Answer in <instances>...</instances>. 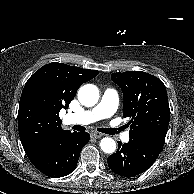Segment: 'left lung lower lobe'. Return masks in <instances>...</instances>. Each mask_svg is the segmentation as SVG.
<instances>
[{"label":"left lung lower lobe","instance_id":"left-lung-lower-lobe-1","mask_svg":"<svg viewBox=\"0 0 194 194\" xmlns=\"http://www.w3.org/2000/svg\"><path fill=\"white\" fill-rule=\"evenodd\" d=\"M164 143L130 134L128 143L119 142L116 153L108 157L109 168L124 177H134L145 172L159 156Z\"/></svg>","mask_w":194,"mask_h":194}]
</instances>
